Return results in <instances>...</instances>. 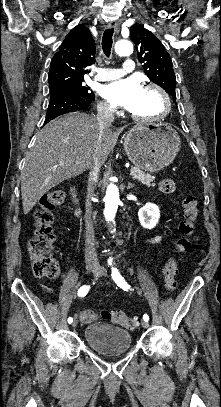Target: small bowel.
Returning <instances> with one entry per match:
<instances>
[{"instance_id": "obj_1", "label": "small bowel", "mask_w": 221, "mask_h": 407, "mask_svg": "<svg viewBox=\"0 0 221 407\" xmlns=\"http://www.w3.org/2000/svg\"><path fill=\"white\" fill-rule=\"evenodd\" d=\"M160 238H161V236H156V237H154V238L151 239V242H152V243L158 242V241L160 240ZM41 287H42L45 291H47L48 293H51V294L54 293L53 288H51V287L48 286L47 284L42 283V284H41Z\"/></svg>"}]
</instances>
